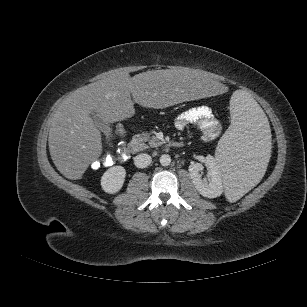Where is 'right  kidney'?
I'll use <instances>...</instances> for the list:
<instances>
[{
    "instance_id": "right-kidney-1",
    "label": "right kidney",
    "mask_w": 307,
    "mask_h": 307,
    "mask_svg": "<svg viewBox=\"0 0 307 307\" xmlns=\"http://www.w3.org/2000/svg\"><path fill=\"white\" fill-rule=\"evenodd\" d=\"M126 170L123 166L109 168L101 177L102 189L109 194L117 193L123 186Z\"/></svg>"
}]
</instances>
